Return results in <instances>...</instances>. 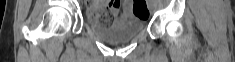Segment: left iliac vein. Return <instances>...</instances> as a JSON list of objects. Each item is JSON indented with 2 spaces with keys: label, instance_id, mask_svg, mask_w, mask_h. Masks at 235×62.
I'll use <instances>...</instances> for the list:
<instances>
[{
  "label": "left iliac vein",
  "instance_id": "4c4485c4",
  "mask_svg": "<svg viewBox=\"0 0 235 62\" xmlns=\"http://www.w3.org/2000/svg\"><path fill=\"white\" fill-rule=\"evenodd\" d=\"M155 8V4L152 2L149 3V9L152 11Z\"/></svg>",
  "mask_w": 235,
  "mask_h": 62
}]
</instances>
